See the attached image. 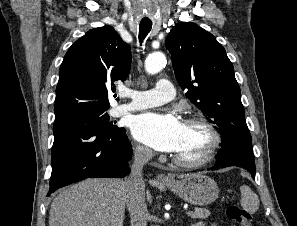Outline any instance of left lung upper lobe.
Wrapping results in <instances>:
<instances>
[{"label": "left lung upper lobe", "mask_w": 297, "mask_h": 226, "mask_svg": "<svg viewBox=\"0 0 297 226\" xmlns=\"http://www.w3.org/2000/svg\"><path fill=\"white\" fill-rule=\"evenodd\" d=\"M166 48L178 83L218 129L221 147L252 144L233 65L216 38L197 24L180 22L168 34Z\"/></svg>", "instance_id": "1"}]
</instances>
